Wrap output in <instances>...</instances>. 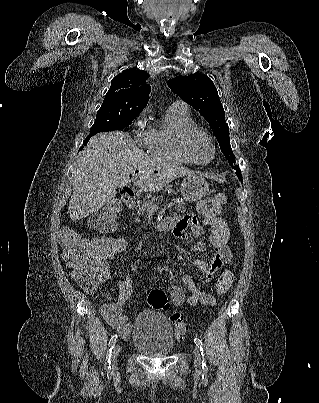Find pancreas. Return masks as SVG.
<instances>
[{
    "mask_svg": "<svg viewBox=\"0 0 319 403\" xmlns=\"http://www.w3.org/2000/svg\"><path fill=\"white\" fill-rule=\"evenodd\" d=\"M159 198H163V195L153 197L150 200H146L142 203V206L139 208L138 213L139 214H148L151 212H154L153 206L156 205V202L158 201ZM173 203L175 205V209L177 212L184 213L185 212V204L182 202H178L177 200H173Z\"/></svg>",
    "mask_w": 319,
    "mask_h": 403,
    "instance_id": "obj_1",
    "label": "pancreas"
}]
</instances>
